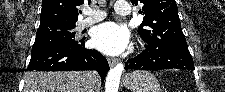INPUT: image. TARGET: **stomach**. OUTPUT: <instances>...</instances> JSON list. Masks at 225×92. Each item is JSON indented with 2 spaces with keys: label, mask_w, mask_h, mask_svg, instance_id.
Wrapping results in <instances>:
<instances>
[{
  "label": "stomach",
  "mask_w": 225,
  "mask_h": 92,
  "mask_svg": "<svg viewBox=\"0 0 225 92\" xmlns=\"http://www.w3.org/2000/svg\"><path fill=\"white\" fill-rule=\"evenodd\" d=\"M124 85L132 92H160L157 78L148 71H133L124 78Z\"/></svg>",
  "instance_id": "obj_1"
}]
</instances>
